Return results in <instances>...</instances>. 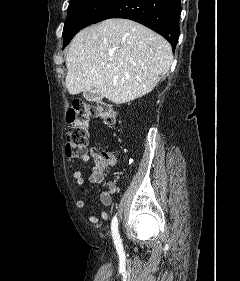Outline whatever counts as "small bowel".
<instances>
[{"instance_id":"small-bowel-1","label":"small bowel","mask_w":240,"mask_h":281,"mask_svg":"<svg viewBox=\"0 0 240 281\" xmlns=\"http://www.w3.org/2000/svg\"><path fill=\"white\" fill-rule=\"evenodd\" d=\"M90 160L89 156L83 158L84 162H88ZM116 163V159L114 156L109 155L106 165L103 169H100L96 166L88 175L87 183L89 185H101L105 188V190L100 194V202L104 206H110L112 203V195L115 193L117 189L116 181H108L105 179L104 169H111ZM73 180L78 186H83L86 183L85 173L83 171H75L73 173ZM78 209H84L86 207V203L83 200H79L76 203ZM100 216L102 219L106 220L108 215L106 212L101 211ZM89 222L93 224H97L99 219L97 216L90 214L88 216Z\"/></svg>"}]
</instances>
